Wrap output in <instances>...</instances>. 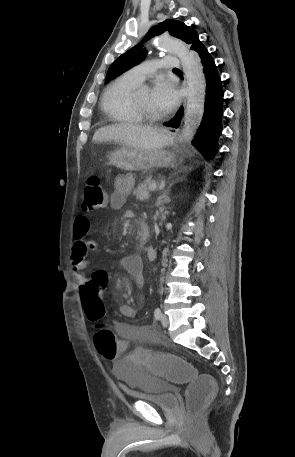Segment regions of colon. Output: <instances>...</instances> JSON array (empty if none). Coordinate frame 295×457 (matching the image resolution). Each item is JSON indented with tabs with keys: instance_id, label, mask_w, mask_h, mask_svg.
I'll return each mask as SVG.
<instances>
[{
	"instance_id": "obj_1",
	"label": "colon",
	"mask_w": 295,
	"mask_h": 457,
	"mask_svg": "<svg viewBox=\"0 0 295 457\" xmlns=\"http://www.w3.org/2000/svg\"><path fill=\"white\" fill-rule=\"evenodd\" d=\"M106 204V193L99 176H90L84 186V197L81 208L84 212H92L103 208ZM102 288H110V279L102 272H93V277L87 278V284L82 287L83 307L87 318L96 322L94 343L97 354L103 355L104 360L119 362L132 360L133 365L141 363L144 372H162V378H168L169 383H186L187 378H194L186 384V407L190 417L198 414L216 389L215 374H201L195 367L186 363L185 358L177 357L176 351H161L160 357H150L157 354L158 348L141 346L138 351H129L125 341H115L113 332L103 322L105 309L101 302ZM196 377V378H195Z\"/></svg>"
}]
</instances>
